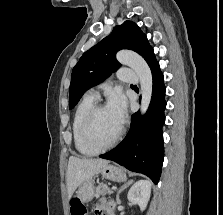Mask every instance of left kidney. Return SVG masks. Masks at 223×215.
Returning <instances> with one entry per match:
<instances>
[{
	"mask_svg": "<svg viewBox=\"0 0 223 215\" xmlns=\"http://www.w3.org/2000/svg\"><path fill=\"white\" fill-rule=\"evenodd\" d=\"M151 193V183L148 179H139L136 183H133L128 191V199L132 203H138L142 211L145 209Z\"/></svg>",
	"mask_w": 223,
	"mask_h": 215,
	"instance_id": "obj_1",
	"label": "left kidney"
}]
</instances>
